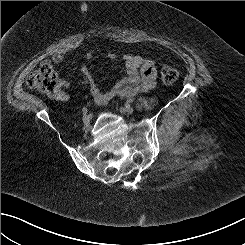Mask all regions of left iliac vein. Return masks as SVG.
I'll return each instance as SVG.
<instances>
[{
	"label": "left iliac vein",
	"mask_w": 245,
	"mask_h": 245,
	"mask_svg": "<svg viewBox=\"0 0 245 245\" xmlns=\"http://www.w3.org/2000/svg\"><path fill=\"white\" fill-rule=\"evenodd\" d=\"M120 111L125 114H132L134 112V108L130 105H126L120 108Z\"/></svg>",
	"instance_id": "obj_1"
}]
</instances>
